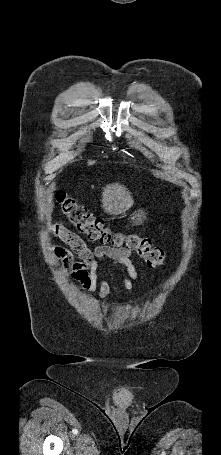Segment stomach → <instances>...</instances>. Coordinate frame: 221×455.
<instances>
[{
	"mask_svg": "<svg viewBox=\"0 0 221 455\" xmlns=\"http://www.w3.org/2000/svg\"><path fill=\"white\" fill-rule=\"evenodd\" d=\"M144 219H146V213L143 209H138L129 216L132 225H139Z\"/></svg>",
	"mask_w": 221,
	"mask_h": 455,
	"instance_id": "stomach-1",
	"label": "stomach"
}]
</instances>
